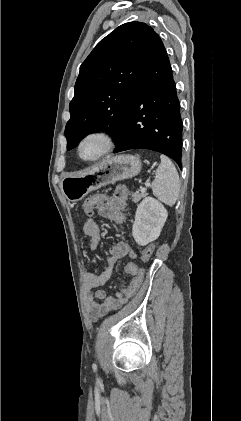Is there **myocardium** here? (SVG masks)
Returning a JSON list of instances; mask_svg holds the SVG:
<instances>
[{"label":"myocardium","instance_id":"1","mask_svg":"<svg viewBox=\"0 0 241 421\" xmlns=\"http://www.w3.org/2000/svg\"><path fill=\"white\" fill-rule=\"evenodd\" d=\"M92 138L99 139L102 143V147L100 151L93 155V156H84L82 153V147L84 143ZM115 145V138L113 133L106 128H94L86 132L79 140L77 144V154L80 157V159L87 161V162H95L104 157L106 154H108Z\"/></svg>","mask_w":241,"mask_h":421}]
</instances>
